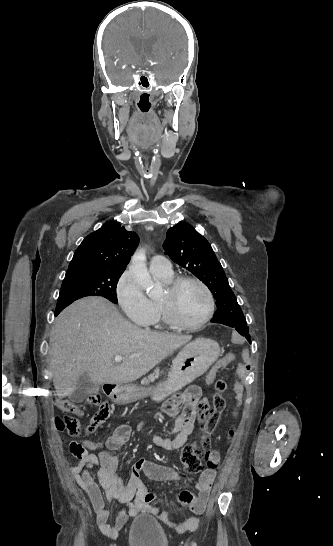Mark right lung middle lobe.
<instances>
[{
	"mask_svg": "<svg viewBox=\"0 0 333 546\" xmlns=\"http://www.w3.org/2000/svg\"><path fill=\"white\" fill-rule=\"evenodd\" d=\"M124 270L97 269L86 273L66 274L56 311L86 296H102L117 303L116 286Z\"/></svg>",
	"mask_w": 333,
	"mask_h": 546,
	"instance_id": "right-lung-middle-lobe-1",
	"label": "right lung middle lobe"
}]
</instances>
